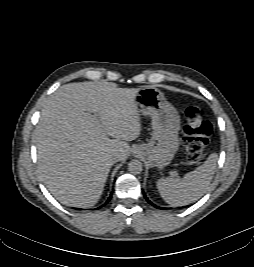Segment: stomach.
I'll use <instances>...</instances> for the list:
<instances>
[{
	"instance_id": "1",
	"label": "stomach",
	"mask_w": 254,
	"mask_h": 267,
	"mask_svg": "<svg viewBox=\"0 0 254 267\" xmlns=\"http://www.w3.org/2000/svg\"><path fill=\"white\" fill-rule=\"evenodd\" d=\"M139 113L152 119L153 134L147 144H141L135 153L143 156L151 166H168L179 149L180 116L164 94L155 87L140 88L135 96Z\"/></svg>"
}]
</instances>
